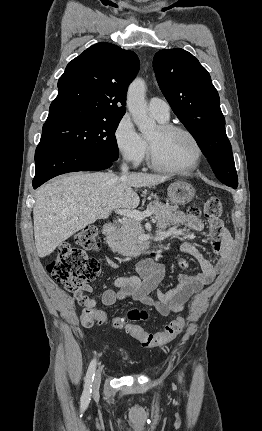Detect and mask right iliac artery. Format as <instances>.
Returning a JSON list of instances; mask_svg holds the SVG:
<instances>
[{
    "mask_svg": "<svg viewBox=\"0 0 262 431\" xmlns=\"http://www.w3.org/2000/svg\"><path fill=\"white\" fill-rule=\"evenodd\" d=\"M95 369H96V360H92L88 367V371L85 378V389L82 395V399L85 401L90 400V396L92 392V383L95 375Z\"/></svg>",
    "mask_w": 262,
    "mask_h": 431,
    "instance_id": "right-iliac-artery-1",
    "label": "right iliac artery"
}]
</instances>
